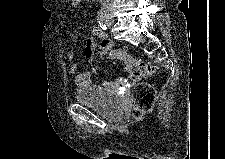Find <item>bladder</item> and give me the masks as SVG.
<instances>
[{
    "label": "bladder",
    "mask_w": 225,
    "mask_h": 159,
    "mask_svg": "<svg viewBox=\"0 0 225 159\" xmlns=\"http://www.w3.org/2000/svg\"><path fill=\"white\" fill-rule=\"evenodd\" d=\"M75 98L79 104L96 110L109 119H117L123 114L122 99L101 85H88L79 89Z\"/></svg>",
    "instance_id": "31cf9c89"
}]
</instances>
